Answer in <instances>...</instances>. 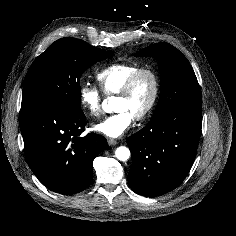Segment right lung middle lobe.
<instances>
[{
    "instance_id": "dd1d6c3e",
    "label": "right lung middle lobe",
    "mask_w": 236,
    "mask_h": 236,
    "mask_svg": "<svg viewBox=\"0 0 236 236\" xmlns=\"http://www.w3.org/2000/svg\"><path fill=\"white\" fill-rule=\"evenodd\" d=\"M111 51L65 37L55 41L30 66L23 85L21 110L55 105L80 111V78L91 65L112 57Z\"/></svg>"
}]
</instances>
